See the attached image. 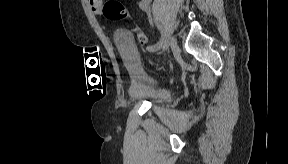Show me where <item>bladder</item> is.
Masks as SVG:
<instances>
[{
	"mask_svg": "<svg viewBox=\"0 0 288 164\" xmlns=\"http://www.w3.org/2000/svg\"><path fill=\"white\" fill-rule=\"evenodd\" d=\"M117 46L131 76L130 97L146 100L151 104H162L167 100V90L155 75L145 71L134 45L123 35L117 37Z\"/></svg>",
	"mask_w": 288,
	"mask_h": 164,
	"instance_id": "obj_1",
	"label": "bladder"
}]
</instances>
